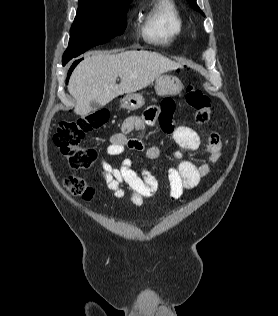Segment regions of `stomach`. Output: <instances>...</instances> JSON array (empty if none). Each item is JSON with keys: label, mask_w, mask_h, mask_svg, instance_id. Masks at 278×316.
Here are the masks:
<instances>
[{"label": "stomach", "mask_w": 278, "mask_h": 316, "mask_svg": "<svg viewBox=\"0 0 278 316\" xmlns=\"http://www.w3.org/2000/svg\"><path fill=\"white\" fill-rule=\"evenodd\" d=\"M182 88L178 77L172 75H160L155 81V90L159 96L175 95ZM144 105V98L140 94H127L120 100V106L128 110H136Z\"/></svg>", "instance_id": "obj_1"}]
</instances>
